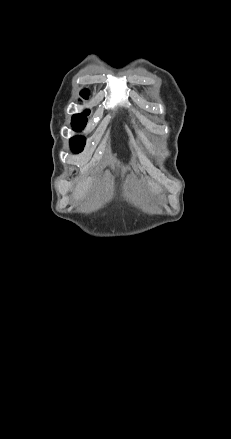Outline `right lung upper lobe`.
Segmentation results:
<instances>
[{
	"instance_id": "right-lung-upper-lobe-1",
	"label": "right lung upper lobe",
	"mask_w": 231,
	"mask_h": 439,
	"mask_svg": "<svg viewBox=\"0 0 231 439\" xmlns=\"http://www.w3.org/2000/svg\"><path fill=\"white\" fill-rule=\"evenodd\" d=\"M88 95H89V91H88V90H85V91L81 92V96H82L83 98H85V99L88 98ZM85 114H89V110H85V111L83 112V114H77V115H85Z\"/></svg>"
}]
</instances>
